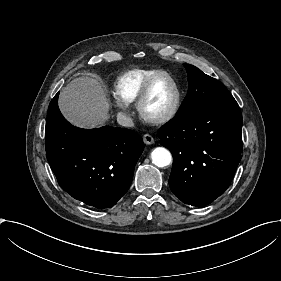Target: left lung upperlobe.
<instances>
[{
    "label": "left lung upper lobe",
    "mask_w": 281,
    "mask_h": 281,
    "mask_svg": "<svg viewBox=\"0 0 281 281\" xmlns=\"http://www.w3.org/2000/svg\"><path fill=\"white\" fill-rule=\"evenodd\" d=\"M189 88L177 115L197 109L235 102L227 88L218 80L206 75L195 66L184 64Z\"/></svg>",
    "instance_id": "obj_1"
}]
</instances>
